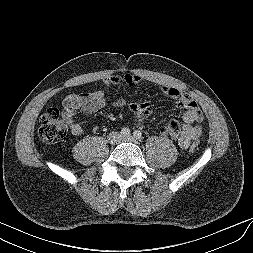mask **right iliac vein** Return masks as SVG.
Instances as JSON below:
<instances>
[{
  "label": "right iliac vein",
  "instance_id": "obj_1",
  "mask_svg": "<svg viewBox=\"0 0 253 253\" xmlns=\"http://www.w3.org/2000/svg\"><path fill=\"white\" fill-rule=\"evenodd\" d=\"M110 144H118L120 142V135L117 133H113L108 138Z\"/></svg>",
  "mask_w": 253,
  "mask_h": 253
}]
</instances>
